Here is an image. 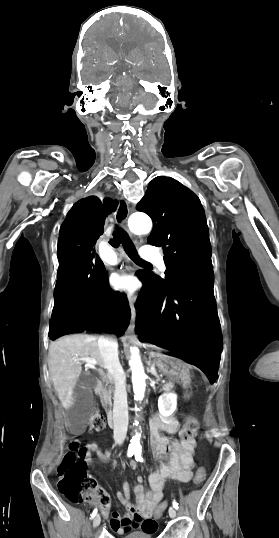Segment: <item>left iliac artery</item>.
<instances>
[{
	"label": "left iliac artery",
	"instance_id": "obj_1",
	"mask_svg": "<svg viewBox=\"0 0 279 538\" xmlns=\"http://www.w3.org/2000/svg\"><path fill=\"white\" fill-rule=\"evenodd\" d=\"M135 458L137 461L139 462H143V457H142V450L141 449H136L135 450ZM173 507L177 510L178 509V503L174 500L173 501Z\"/></svg>",
	"mask_w": 279,
	"mask_h": 538
}]
</instances>
